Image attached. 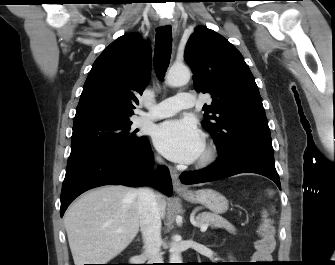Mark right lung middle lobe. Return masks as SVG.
<instances>
[{"label": "right lung middle lobe", "mask_w": 335, "mask_h": 265, "mask_svg": "<svg viewBox=\"0 0 335 265\" xmlns=\"http://www.w3.org/2000/svg\"><path fill=\"white\" fill-rule=\"evenodd\" d=\"M131 121L96 122L73 127L71 154L88 151H132L146 139L131 131Z\"/></svg>", "instance_id": "dd1d6c3e"}]
</instances>
